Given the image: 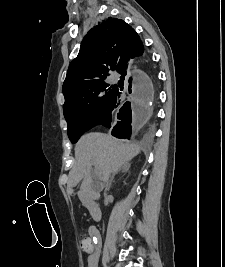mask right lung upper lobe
<instances>
[{"label": "right lung upper lobe", "mask_w": 225, "mask_h": 267, "mask_svg": "<svg viewBox=\"0 0 225 267\" xmlns=\"http://www.w3.org/2000/svg\"><path fill=\"white\" fill-rule=\"evenodd\" d=\"M138 43L136 31L121 19L109 18L91 29L69 65L62 87L65 99L90 83L106 79L110 70L118 71Z\"/></svg>", "instance_id": "right-lung-upper-lobe-1"}]
</instances>
